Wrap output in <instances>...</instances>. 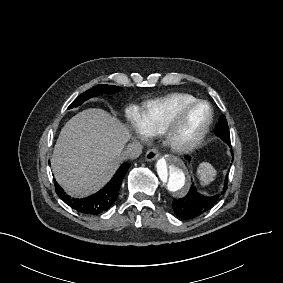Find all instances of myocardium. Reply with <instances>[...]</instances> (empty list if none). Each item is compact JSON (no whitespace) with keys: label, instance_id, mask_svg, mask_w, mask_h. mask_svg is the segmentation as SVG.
<instances>
[{"label":"myocardium","instance_id":"obj_1","mask_svg":"<svg viewBox=\"0 0 283 283\" xmlns=\"http://www.w3.org/2000/svg\"><path fill=\"white\" fill-rule=\"evenodd\" d=\"M177 104V101L171 98L163 99L161 101L162 111L160 114V129H159V137L163 140L164 144L173 152L178 154H187L194 149H196L206 138L208 135L210 128L212 126L214 120V111L210 103L205 100H193L185 103L182 106L183 110H187L191 107L196 106H205L207 109V117L196 132V134L186 142L183 143H176L173 141V133L168 129L169 125V118H168V111L170 108Z\"/></svg>","mask_w":283,"mask_h":283}]
</instances>
